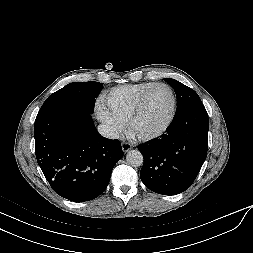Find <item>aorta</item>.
Returning <instances> with one entry per match:
<instances>
[{"label": "aorta", "instance_id": "762f6f07", "mask_svg": "<svg viewBox=\"0 0 253 253\" xmlns=\"http://www.w3.org/2000/svg\"><path fill=\"white\" fill-rule=\"evenodd\" d=\"M127 163L133 167H139L143 164L144 158L139 150H129L126 155Z\"/></svg>", "mask_w": 253, "mask_h": 253}]
</instances>
